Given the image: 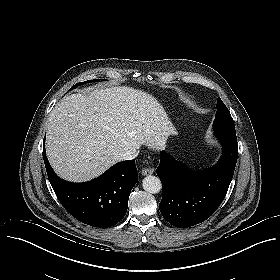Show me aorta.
<instances>
[{
  "label": "aorta",
  "mask_w": 280,
  "mask_h": 280,
  "mask_svg": "<svg viewBox=\"0 0 280 280\" xmlns=\"http://www.w3.org/2000/svg\"><path fill=\"white\" fill-rule=\"evenodd\" d=\"M142 186L146 192L151 194H156L160 192L162 188L160 179L153 175H149L145 177L142 181Z\"/></svg>",
  "instance_id": "aorta-1"
}]
</instances>
